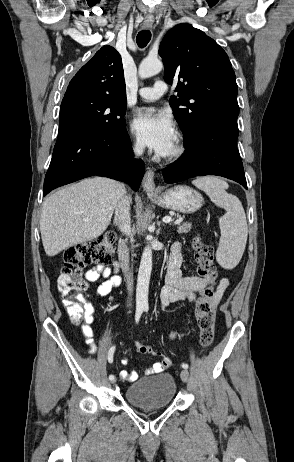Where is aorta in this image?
Returning a JSON list of instances; mask_svg holds the SVG:
<instances>
[{"instance_id": "762f6f07", "label": "aorta", "mask_w": 294, "mask_h": 462, "mask_svg": "<svg viewBox=\"0 0 294 462\" xmlns=\"http://www.w3.org/2000/svg\"><path fill=\"white\" fill-rule=\"evenodd\" d=\"M163 68L162 62L157 58H146L139 65L138 74L142 79L158 74ZM152 271V250L146 246L143 250L136 287V306L148 307L149 282Z\"/></svg>"}]
</instances>
